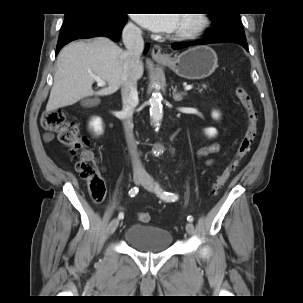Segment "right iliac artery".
<instances>
[{"mask_svg": "<svg viewBox=\"0 0 303 303\" xmlns=\"http://www.w3.org/2000/svg\"><path fill=\"white\" fill-rule=\"evenodd\" d=\"M138 191H139V190H138L137 187L132 188V189L129 191V196H130V197H134V196L138 193ZM123 217H124L123 212H120L119 215H118V218H119V219H123Z\"/></svg>", "mask_w": 303, "mask_h": 303, "instance_id": "1", "label": "right iliac artery"}]
</instances>
